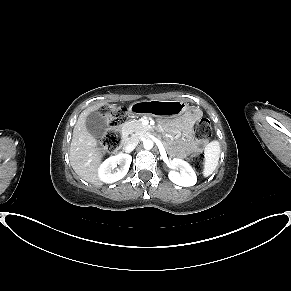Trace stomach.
Here are the masks:
<instances>
[{
  "instance_id": "1",
  "label": "stomach",
  "mask_w": 291,
  "mask_h": 291,
  "mask_svg": "<svg viewBox=\"0 0 291 291\" xmlns=\"http://www.w3.org/2000/svg\"><path fill=\"white\" fill-rule=\"evenodd\" d=\"M186 107H189L188 104L178 100L176 101L144 100L131 104L129 112L131 115L134 116L153 115L159 118H174V117L179 118L178 116L179 111Z\"/></svg>"
}]
</instances>
